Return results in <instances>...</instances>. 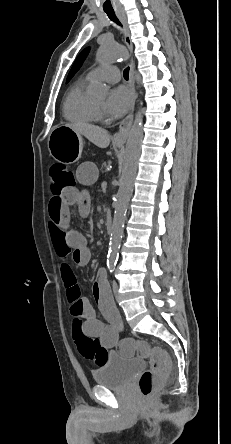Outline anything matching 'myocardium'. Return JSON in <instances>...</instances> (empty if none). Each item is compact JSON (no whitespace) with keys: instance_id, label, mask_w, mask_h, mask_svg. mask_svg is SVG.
<instances>
[{"instance_id":"obj_1","label":"myocardium","mask_w":231,"mask_h":444,"mask_svg":"<svg viewBox=\"0 0 231 444\" xmlns=\"http://www.w3.org/2000/svg\"><path fill=\"white\" fill-rule=\"evenodd\" d=\"M96 110H97L98 112H100V111H101V109H100L99 107H96Z\"/></svg>"}]
</instances>
